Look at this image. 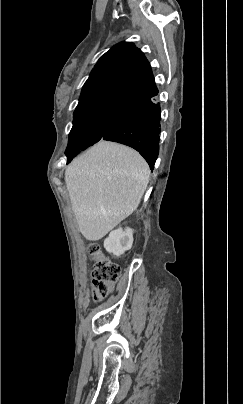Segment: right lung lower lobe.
<instances>
[{"label":"right lung lower lobe","mask_w":243,"mask_h":404,"mask_svg":"<svg viewBox=\"0 0 243 404\" xmlns=\"http://www.w3.org/2000/svg\"><path fill=\"white\" fill-rule=\"evenodd\" d=\"M156 95L158 92L128 102L101 138L134 148L151 169L159 153L160 106L155 103Z\"/></svg>","instance_id":"98d812e1"}]
</instances>
